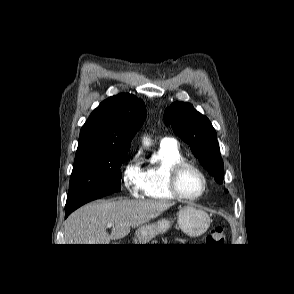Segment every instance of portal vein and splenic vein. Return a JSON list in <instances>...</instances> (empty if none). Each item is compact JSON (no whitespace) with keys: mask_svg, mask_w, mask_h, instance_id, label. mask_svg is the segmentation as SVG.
Masks as SVG:
<instances>
[{"mask_svg":"<svg viewBox=\"0 0 294 294\" xmlns=\"http://www.w3.org/2000/svg\"><path fill=\"white\" fill-rule=\"evenodd\" d=\"M113 226H114L113 223H108V224H107V228H110V227H113Z\"/></svg>","mask_w":294,"mask_h":294,"instance_id":"obj_1","label":"portal vein and splenic vein"}]
</instances>
